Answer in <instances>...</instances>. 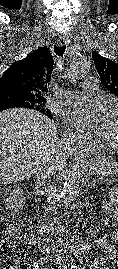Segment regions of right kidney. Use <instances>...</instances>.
<instances>
[{"label": "right kidney", "instance_id": "1", "mask_svg": "<svg viewBox=\"0 0 118 269\" xmlns=\"http://www.w3.org/2000/svg\"><path fill=\"white\" fill-rule=\"evenodd\" d=\"M26 203L21 187H15L10 191L9 197L6 198V209H11L15 213L22 210Z\"/></svg>", "mask_w": 118, "mask_h": 269}]
</instances>
